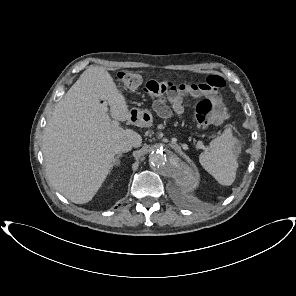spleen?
I'll list each match as a JSON object with an SVG mask.
<instances>
[{"label": "spleen", "instance_id": "3e777b00", "mask_svg": "<svg viewBox=\"0 0 296 296\" xmlns=\"http://www.w3.org/2000/svg\"><path fill=\"white\" fill-rule=\"evenodd\" d=\"M237 151V140L228 127L200 154L199 162L220 184L228 186L235 181L239 167Z\"/></svg>", "mask_w": 296, "mask_h": 296}]
</instances>
